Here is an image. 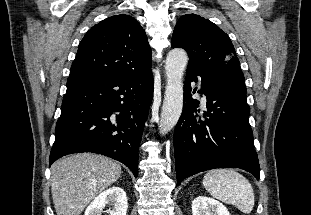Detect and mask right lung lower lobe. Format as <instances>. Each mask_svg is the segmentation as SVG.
I'll use <instances>...</instances> for the list:
<instances>
[{
	"label": "right lung lower lobe",
	"mask_w": 311,
	"mask_h": 215,
	"mask_svg": "<svg viewBox=\"0 0 311 215\" xmlns=\"http://www.w3.org/2000/svg\"><path fill=\"white\" fill-rule=\"evenodd\" d=\"M153 95L151 69L132 76L68 78L55 128L50 165L72 153L93 152L138 175V147Z\"/></svg>",
	"instance_id": "obj_1"
}]
</instances>
